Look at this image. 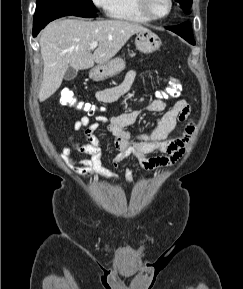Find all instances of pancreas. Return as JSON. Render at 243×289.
I'll return each instance as SVG.
<instances>
[{
	"label": "pancreas",
	"mask_w": 243,
	"mask_h": 289,
	"mask_svg": "<svg viewBox=\"0 0 243 289\" xmlns=\"http://www.w3.org/2000/svg\"><path fill=\"white\" fill-rule=\"evenodd\" d=\"M130 56L133 57V56H135V54H134V53H131Z\"/></svg>",
	"instance_id": "cf45deb5"
}]
</instances>
